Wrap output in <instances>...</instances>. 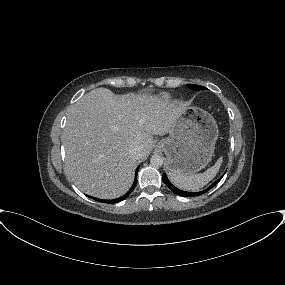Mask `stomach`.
<instances>
[{
  "label": "stomach",
  "mask_w": 285,
  "mask_h": 285,
  "mask_svg": "<svg viewBox=\"0 0 285 285\" xmlns=\"http://www.w3.org/2000/svg\"><path fill=\"white\" fill-rule=\"evenodd\" d=\"M215 119L197 107H186L156 148L166 155L168 173L195 174L211 161L218 139Z\"/></svg>",
  "instance_id": "1"
}]
</instances>
